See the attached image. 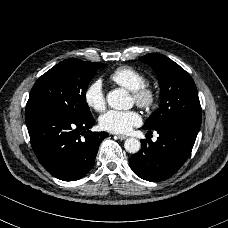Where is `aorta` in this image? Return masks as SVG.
<instances>
[{
  "instance_id": "762f6f07",
  "label": "aorta",
  "mask_w": 228,
  "mask_h": 228,
  "mask_svg": "<svg viewBox=\"0 0 228 228\" xmlns=\"http://www.w3.org/2000/svg\"><path fill=\"white\" fill-rule=\"evenodd\" d=\"M107 105L115 110H128L133 106V98L127 91L121 89H112L106 95ZM141 143L136 138H128L124 142V148L130 154L137 153L140 150Z\"/></svg>"
}]
</instances>
